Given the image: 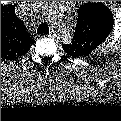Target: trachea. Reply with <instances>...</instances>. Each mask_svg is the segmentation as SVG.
Returning a JSON list of instances; mask_svg holds the SVG:
<instances>
[{
	"label": "trachea",
	"instance_id": "obj_1",
	"mask_svg": "<svg viewBox=\"0 0 121 121\" xmlns=\"http://www.w3.org/2000/svg\"><path fill=\"white\" fill-rule=\"evenodd\" d=\"M49 32V27L47 26V24H40L38 29H37V33L38 34H47Z\"/></svg>",
	"mask_w": 121,
	"mask_h": 121
}]
</instances>
